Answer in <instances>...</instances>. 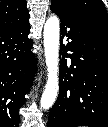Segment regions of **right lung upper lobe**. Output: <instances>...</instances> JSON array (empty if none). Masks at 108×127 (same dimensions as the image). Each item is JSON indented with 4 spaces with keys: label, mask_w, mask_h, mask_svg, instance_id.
<instances>
[{
    "label": "right lung upper lobe",
    "mask_w": 108,
    "mask_h": 127,
    "mask_svg": "<svg viewBox=\"0 0 108 127\" xmlns=\"http://www.w3.org/2000/svg\"><path fill=\"white\" fill-rule=\"evenodd\" d=\"M29 24L26 0L0 1V33L21 29Z\"/></svg>",
    "instance_id": "right-lung-upper-lobe-1"
}]
</instances>
